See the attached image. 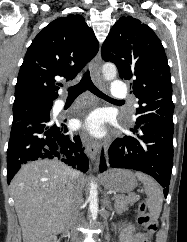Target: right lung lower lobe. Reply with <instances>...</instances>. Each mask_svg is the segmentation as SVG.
I'll list each match as a JSON object with an SVG mask.
<instances>
[{
    "mask_svg": "<svg viewBox=\"0 0 187 242\" xmlns=\"http://www.w3.org/2000/svg\"><path fill=\"white\" fill-rule=\"evenodd\" d=\"M45 158L59 159L82 172L89 167L79 136L69 133L64 123L52 122L49 113L13 122L7 150L8 184L23 164Z\"/></svg>",
    "mask_w": 187,
    "mask_h": 242,
    "instance_id": "right-lung-lower-lobe-1",
    "label": "right lung lower lobe"
}]
</instances>
